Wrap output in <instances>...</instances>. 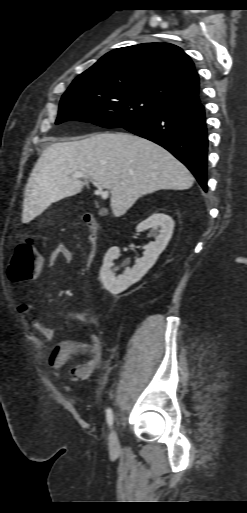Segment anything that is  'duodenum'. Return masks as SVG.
Wrapping results in <instances>:
<instances>
[{"label": "duodenum", "instance_id": "obj_1", "mask_svg": "<svg viewBox=\"0 0 247 513\" xmlns=\"http://www.w3.org/2000/svg\"><path fill=\"white\" fill-rule=\"evenodd\" d=\"M83 223L87 229V241L89 245V257L94 261L97 254L98 223L93 214L85 213Z\"/></svg>", "mask_w": 247, "mask_h": 513}]
</instances>
